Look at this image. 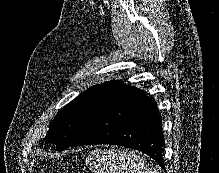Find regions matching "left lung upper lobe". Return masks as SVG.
Masks as SVG:
<instances>
[{
    "instance_id": "1",
    "label": "left lung upper lobe",
    "mask_w": 219,
    "mask_h": 173,
    "mask_svg": "<svg viewBox=\"0 0 219 173\" xmlns=\"http://www.w3.org/2000/svg\"><path fill=\"white\" fill-rule=\"evenodd\" d=\"M126 87L122 81H110L107 85H95L81 93L57 113L45 139L55 143L58 151L67 149L97 112Z\"/></svg>"
}]
</instances>
